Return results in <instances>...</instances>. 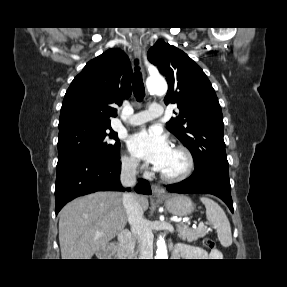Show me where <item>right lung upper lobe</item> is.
I'll return each instance as SVG.
<instances>
[{"mask_svg": "<svg viewBox=\"0 0 287 287\" xmlns=\"http://www.w3.org/2000/svg\"><path fill=\"white\" fill-rule=\"evenodd\" d=\"M132 68L120 49H109L89 61L66 91L59 128L74 123L110 126L116 117L115 104L131 95Z\"/></svg>", "mask_w": 287, "mask_h": 287, "instance_id": "obj_1", "label": "right lung upper lobe"}]
</instances>
